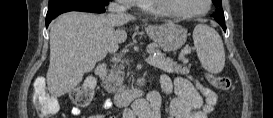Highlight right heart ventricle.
<instances>
[{
	"label": "right heart ventricle",
	"mask_w": 273,
	"mask_h": 118,
	"mask_svg": "<svg viewBox=\"0 0 273 118\" xmlns=\"http://www.w3.org/2000/svg\"><path fill=\"white\" fill-rule=\"evenodd\" d=\"M141 6L143 7V9L145 11H150V12H154V13L164 14V13H161V12L157 11L156 4L153 1H142L141 2Z\"/></svg>",
	"instance_id": "right-heart-ventricle-1"
}]
</instances>
